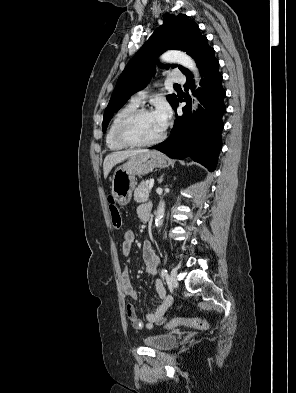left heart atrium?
Here are the masks:
<instances>
[{"instance_id":"left-heart-atrium-1","label":"left heart atrium","mask_w":296,"mask_h":393,"mask_svg":"<svg viewBox=\"0 0 296 393\" xmlns=\"http://www.w3.org/2000/svg\"><path fill=\"white\" fill-rule=\"evenodd\" d=\"M158 123L161 128L164 130L168 124V121L171 117V110L169 105L166 102H159L153 111Z\"/></svg>"}]
</instances>
